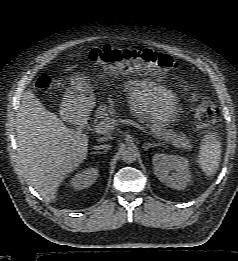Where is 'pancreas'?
Masks as SVG:
<instances>
[{
    "mask_svg": "<svg viewBox=\"0 0 238 261\" xmlns=\"http://www.w3.org/2000/svg\"><path fill=\"white\" fill-rule=\"evenodd\" d=\"M95 113L97 123L114 120L113 118L118 117V113L113 103H110L108 106L106 104L100 105ZM145 121L147 122L146 126L156 138L172 144L175 148H180L181 150H191L192 146L190 144V140L185 134L176 133L172 129H167L160 122H152L148 119H142V122Z\"/></svg>",
    "mask_w": 238,
    "mask_h": 261,
    "instance_id": "1",
    "label": "pancreas"
}]
</instances>
